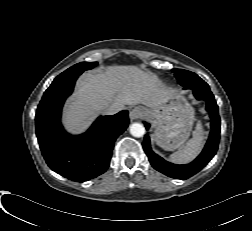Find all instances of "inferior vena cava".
I'll use <instances>...</instances> for the list:
<instances>
[{"label": "inferior vena cava", "mask_w": 252, "mask_h": 231, "mask_svg": "<svg viewBox=\"0 0 252 231\" xmlns=\"http://www.w3.org/2000/svg\"><path fill=\"white\" fill-rule=\"evenodd\" d=\"M122 108L117 105L113 106H104L101 108V113L104 115H114L118 113Z\"/></svg>", "instance_id": "602c4592"}]
</instances>
